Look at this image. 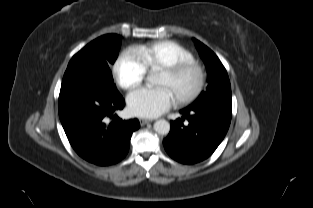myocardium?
I'll use <instances>...</instances> for the list:
<instances>
[{"mask_svg": "<svg viewBox=\"0 0 313 208\" xmlns=\"http://www.w3.org/2000/svg\"><path fill=\"white\" fill-rule=\"evenodd\" d=\"M160 70L172 80H175L189 72H193L195 74V82L193 86L185 93L177 94L175 96L176 102L180 105H185L194 101L201 94L204 88L206 80L205 70L203 66L195 60L179 62Z\"/></svg>", "mask_w": 313, "mask_h": 208, "instance_id": "obj_1", "label": "myocardium"}]
</instances>
